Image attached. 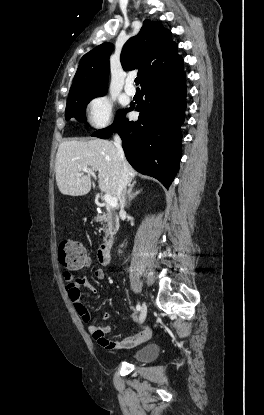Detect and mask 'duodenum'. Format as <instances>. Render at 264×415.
Returning <instances> with one entry per match:
<instances>
[{
  "instance_id": "obj_1",
  "label": "duodenum",
  "mask_w": 264,
  "mask_h": 415,
  "mask_svg": "<svg viewBox=\"0 0 264 415\" xmlns=\"http://www.w3.org/2000/svg\"><path fill=\"white\" fill-rule=\"evenodd\" d=\"M113 245L114 241L109 240L103 243L99 249V259L105 265H110L111 263Z\"/></svg>"
}]
</instances>
